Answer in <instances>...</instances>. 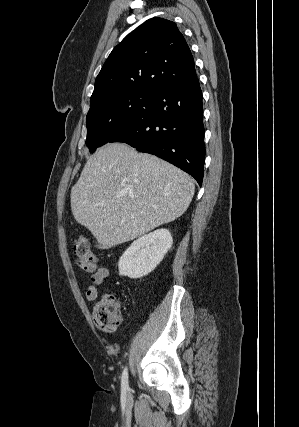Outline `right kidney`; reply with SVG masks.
<instances>
[{"mask_svg":"<svg viewBox=\"0 0 299 427\" xmlns=\"http://www.w3.org/2000/svg\"><path fill=\"white\" fill-rule=\"evenodd\" d=\"M173 243L167 229H158L134 241L121 256L119 275L131 279L142 278L162 261Z\"/></svg>","mask_w":299,"mask_h":427,"instance_id":"1","label":"right kidney"}]
</instances>
